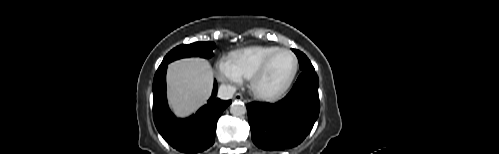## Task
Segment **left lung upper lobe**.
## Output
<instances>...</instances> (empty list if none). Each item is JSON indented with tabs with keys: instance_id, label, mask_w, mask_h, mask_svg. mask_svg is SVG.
<instances>
[{
	"instance_id": "5c2ea615",
	"label": "left lung upper lobe",
	"mask_w": 499,
	"mask_h": 154,
	"mask_svg": "<svg viewBox=\"0 0 499 154\" xmlns=\"http://www.w3.org/2000/svg\"><path fill=\"white\" fill-rule=\"evenodd\" d=\"M294 51V50H293ZM295 54L298 57V61L300 64V69L302 71H314V67L312 66L310 60L306 57V55L300 51H296Z\"/></svg>"
}]
</instances>
